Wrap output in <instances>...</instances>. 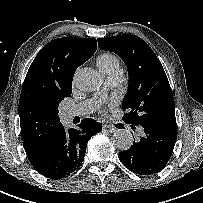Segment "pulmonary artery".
Returning <instances> with one entry per match:
<instances>
[{
    "label": "pulmonary artery",
    "mask_w": 203,
    "mask_h": 203,
    "mask_svg": "<svg viewBox=\"0 0 203 203\" xmlns=\"http://www.w3.org/2000/svg\"><path fill=\"white\" fill-rule=\"evenodd\" d=\"M89 107H91V102H86L82 105H80L78 108L76 109H70L67 111L66 115L68 118H72L76 115L82 114L83 112H85Z\"/></svg>",
    "instance_id": "e3ab8cb5"
}]
</instances>
